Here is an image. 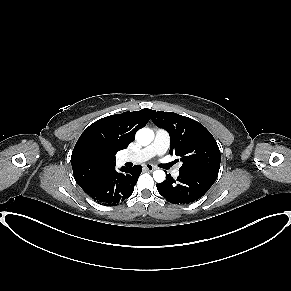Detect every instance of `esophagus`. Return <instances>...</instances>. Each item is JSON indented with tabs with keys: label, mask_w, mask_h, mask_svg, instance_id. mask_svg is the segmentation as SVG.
Masks as SVG:
<instances>
[{
	"label": "esophagus",
	"mask_w": 291,
	"mask_h": 291,
	"mask_svg": "<svg viewBox=\"0 0 291 291\" xmlns=\"http://www.w3.org/2000/svg\"><path fill=\"white\" fill-rule=\"evenodd\" d=\"M144 168H145L146 170H148V171H153V170L157 169V167H156V166H153L152 164H146V165L144 166Z\"/></svg>",
	"instance_id": "esophagus-1"
}]
</instances>
